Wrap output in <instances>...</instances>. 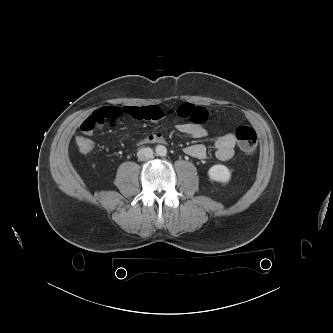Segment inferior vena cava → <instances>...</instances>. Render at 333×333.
I'll use <instances>...</instances> for the list:
<instances>
[{
  "instance_id": "obj_1",
  "label": "inferior vena cava",
  "mask_w": 333,
  "mask_h": 333,
  "mask_svg": "<svg viewBox=\"0 0 333 333\" xmlns=\"http://www.w3.org/2000/svg\"><path fill=\"white\" fill-rule=\"evenodd\" d=\"M137 157L140 161H146L153 157V150L151 148H141L138 153Z\"/></svg>"
}]
</instances>
